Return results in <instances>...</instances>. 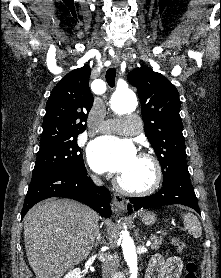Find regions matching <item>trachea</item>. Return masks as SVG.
Masks as SVG:
<instances>
[{
	"label": "trachea",
	"instance_id": "obj_1",
	"mask_svg": "<svg viewBox=\"0 0 221 278\" xmlns=\"http://www.w3.org/2000/svg\"><path fill=\"white\" fill-rule=\"evenodd\" d=\"M115 78H116V69L113 67L109 68L106 72V81L111 88L115 86Z\"/></svg>",
	"mask_w": 221,
	"mask_h": 278
}]
</instances>
